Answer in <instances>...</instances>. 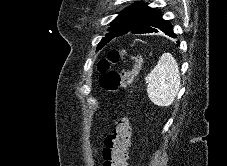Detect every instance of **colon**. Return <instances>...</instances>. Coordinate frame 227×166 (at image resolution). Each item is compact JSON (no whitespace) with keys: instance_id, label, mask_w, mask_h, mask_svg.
I'll list each match as a JSON object with an SVG mask.
<instances>
[{"instance_id":"obj_1","label":"colon","mask_w":227,"mask_h":166,"mask_svg":"<svg viewBox=\"0 0 227 166\" xmlns=\"http://www.w3.org/2000/svg\"><path fill=\"white\" fill-rule=\"evenodd\" d=\"M126 59L131 68L119 74L109 70V62H118ZM142 66V58L139 55H127L119 49H112L108 53V60H102L99 64L101 72L100 85L110 92H119L128 88L134 76L138 74ZM131 142V126L125 117H120L110 135L105 140L103 149V166H127L128 152Z\"/></svg>"}]
</instances>
